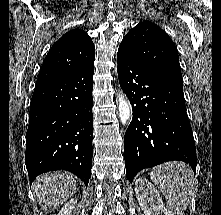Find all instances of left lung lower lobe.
<instances>
[{
    "instance_id": "0a47b994",
    "label": "left lung lower lobe",
    "mask_w": 221,
    "mask_h": 215,
    "mask_svg": "<svg viewBox=\"0 0 221 215\" xmlns=\"http://www.w3.org/2000/svg\"><path fill=\"white\" fill-rule=\"evenodd\" d=\"M119 83L132 104L124 136L127 178L158 164L181 160L196 171V149L186 113L183 86L140 65L118 49Z\"/></svg>"
}]
</instances>
